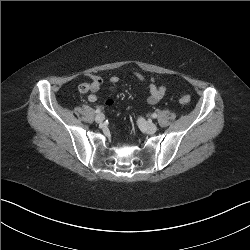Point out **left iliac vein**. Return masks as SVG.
<instances>
[{"mask_svg":"<svg viewBox=\"0 0 250 250\" xmlns=\"http://www.w3.org/2000/svg\"><path fill=\"white\" fill-rule=\"evenodd\" d=\"M138 124L140 128L148 134H153L157 131V126L154 123L147 122L143 118L138 119Z\"/></svg>","mask_w":250,"mask_h":250,"instance_id":"obj_1","label":"left iliac vein"}]
</instances>
